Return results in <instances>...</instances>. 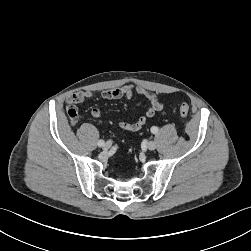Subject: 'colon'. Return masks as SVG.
<instances>
[{
  "mask_svg": "<svg viewBox=\"0 0 251 251\" xmlns=\"http://www.w3.org/2000/svg\"><path fill=\"white\" fill-rule=\"evenodd\" d=\"M179 112L181 114L182 117H187L189 115V107L187 104H182L179 108ZM68 115H69V118H70V121L71 123H75L76 120H77V111L74 109V108H71L69 111H68Z\"/></svg>",
  "mask_w": 251,
  "mask_h": 251,
  "instance_id": "colon-1",
  "label": "colon"
}]
</instances>
